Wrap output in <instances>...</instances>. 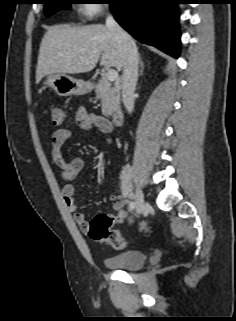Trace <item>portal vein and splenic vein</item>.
I'll use <instances>...</instances> for the list:
<instances>
[{
    "label": "portal vein and splenic vein",
    "mask_w": 236,
    "mask_h": 321,
    "mask_svg": "<svg viewBox=\"0 0 236 321\" xmlns=\"http://www.w3.org/2000/svg\"><path fill=\"white\" fill-rule=\"evenodd\" d=\"M106 77L109 81H115L118 78V72L113 69H108Z\"/></svg>",
    "instance_id": "obj_1"
}]
</instances>
